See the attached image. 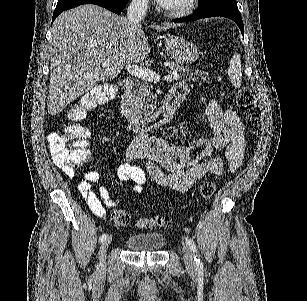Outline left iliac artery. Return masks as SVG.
Wrapping results in <instances>:
<instances>
[{
    "instance_id": "1",
    "label": "left iliac artery",
    "mask_w": 307,
    "mask_h": 301,
    "mask_svg": "<svg viewBox=\"0 0 307 301\" xmlns=\"http://www.w3.org/2000/svg\"><path fill=\"white\" fill-rule=\"evenodd\" d=\"M186 243L189 245V247L194 251V252H196L197 253V247H196V244L194 243V241H193V239L192 238H189V237H187L186 238ZM195 261H196V266H197V269L198 270H203V263H202V261L200 260V258L199 257H195Z\"/></svg>"
}]
</instances>
